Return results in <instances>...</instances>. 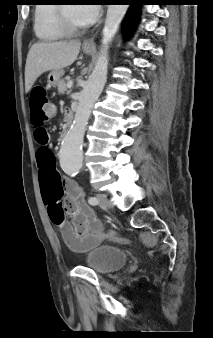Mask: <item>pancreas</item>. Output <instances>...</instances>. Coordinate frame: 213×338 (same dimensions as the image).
I'll use <instances>...</instances> for the list:
<instances>
[{"label": "pancreas", "mask_w": 213, "mask_h": 338, "mask_svg": "<svg viewBox=\"0 0 213 338\" xmlns=\"http://www.w3.org/2000/svg\"><path fill=\"white\" fill-rule=\"evenodd\" d=\"M57 86L58 93L64 94L67 91V78L60 80Z\"/></svg>", "instance_id": "cf45deb5"}]
</instances>
